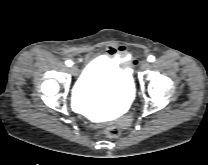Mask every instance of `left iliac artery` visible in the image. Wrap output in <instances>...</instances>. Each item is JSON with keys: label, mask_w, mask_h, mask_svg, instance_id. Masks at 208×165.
I'll use <instances>...</instances> for the list:
<instances>
[{"label": "left iliac artery", "mask_w": 208, "mask_h": 165, "mask_svg": "<svg viewBox=\"0 0 208 165\" xmlns=\"http://www.w3.org/2000/svg\"><path fill=\"white\" fill-rule=\"evenodd\" d=\"M154 60H155V57H154V56L150 55V56L148 57V61H149V62H153Z\"/></svg>", "instance_id": "left-iliac-artery-1"}]
</instances>
